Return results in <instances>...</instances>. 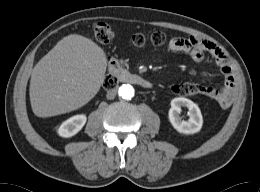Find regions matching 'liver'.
<instances>
[{
    "mask_svg": "<svg viewBox=\"0 0 260 192\" xmlns=\"http://www.w3.org/2000/svg\"><path fill=\"white\" fill-rule=\"evenodd\" d=\"M107 57L91 39L70 34L33 68L29 96L33 113L51 117L76 110L99 91Z\"/></svg>",
    "mask_w": 260,
    "mask_h": 192,
    "instance_id": "liver-1",
    "label": "liver"
}]
</instances>
